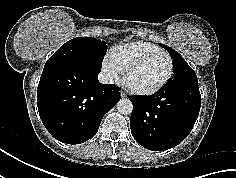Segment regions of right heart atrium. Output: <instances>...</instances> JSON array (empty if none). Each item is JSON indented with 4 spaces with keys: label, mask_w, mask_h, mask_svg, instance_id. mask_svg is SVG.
<instances>
[{
    "label": "right heart atrium",
    "mask_w": 236,
    "mask_h": 178,
    "mask_svg": "<svg viewBox=\"0 0 236 178\" xmlns=\"http://www.w3.org/2000/svg\"><path fill=\"white\" fill-rule=\"evenodd\" d=\"M102 71L106 78L110 82H118L120 77V71L113 64L108 56L104 57L102 61Z\"/></svg>",
    "instance_id": "d8ad5b80"
}]
</instances>
